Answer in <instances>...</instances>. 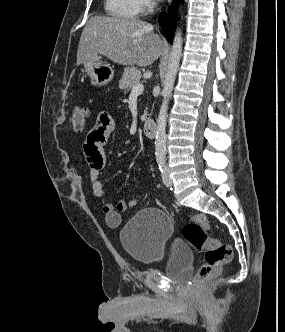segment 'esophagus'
Here are the masks:
<instances>
[{
  "label": "esophagus",
  "mask_w": 285,
  "mask_h": 332,
  "mask_svg": "<svg viewBox=\"0 0 285 332\" xmlns=\"http://www.w3.org/2000/svg\"><path fill=\"white\" fill-rule=\"evenodd\" d=\"M172 2V0H168V3L170 4Z\"/></svg>",
  "instance_id": "1"
}]
</instances>
